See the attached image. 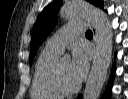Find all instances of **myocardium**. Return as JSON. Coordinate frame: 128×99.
<instances>
[{
  "mask_svg": "<svg viewBox=\"0 0 128 99\" xmlns=\"http://www.w3.org/2000/svg\"><path fill=\"white\" fill-rule=\"evenodd\" d=\"M60 66L61 61H57L50 75L51 84L57 91H59L63 95L76 93L80 89V83L76 84L73 87H67L62 81Z\"/></svg>",
  "mask_w": 128,
  "mask_h": 99,
  "instance_id": "myocardium-1",
  "label": "myocardium"
}]
</instances>
